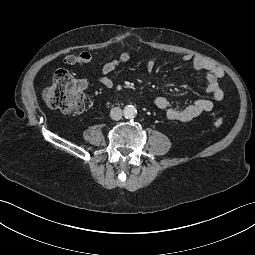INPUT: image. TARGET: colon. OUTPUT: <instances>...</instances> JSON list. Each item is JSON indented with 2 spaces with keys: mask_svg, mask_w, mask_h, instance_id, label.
Segmentation results:
<instances>
[{
  "mask_svg": "<svg viewBox=\"0 0 255 255\" xmlns=\"http://www.w3.org/2000/svg\"><path fill=\"white\" fill-rule=\"evenodd\" d=\"M44 103L67 115H80L85 111L86 98L81 84L65 70H57L51 85L42 94ZM214 124L222 126L221 118H215Z\"/></svg>",
  "mask_w": 255,
  "mask_h": 255,
  "instance_id": "obj_1",
  "label": "colon"
}]
</instances>
